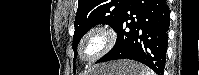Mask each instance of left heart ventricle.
Returning a JSON list of instances; mask_svg holds the SVG:
<instances>
[{"instance_id":"1","label":"left heart ventricle","mask_w":199,"mask_h":75,"mask_svg":"<svg viewBox=\"0 0 199 75\" xmlns=\"http://www.w3.org/2000/svg\"><path fill=\"white\" fill-rule=\"evenodd\" d=\"M101 47V40L99 38H91L85 42L82 49L84 58H90L95 55Z\"/></svg>"}]
</instances>
